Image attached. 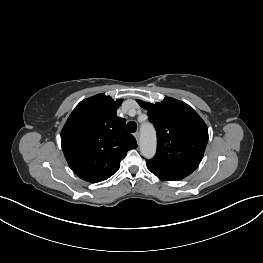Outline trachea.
Returning <instances> with one entry per match:
<instances>
[{
    "mask_svg": "<svg viewBox=\"0 0 263 263\" xmlns=\"http://www.w3.org/2000/svg\"><path fill=\"white\" fill-rule=\"evenodd\" d=\"M137 129V124L136 122L134 121H130L127 123V130L130 132V133H134Z\"/></svg>",
    "mask_w": 263,
    "mask_h": 263,
    "instance_id": "1",
    "label": "trachea"
}]
</instances>
